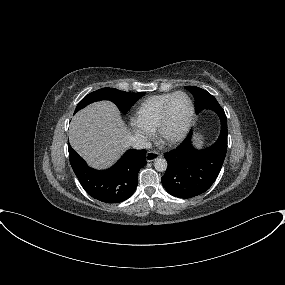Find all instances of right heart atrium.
<instances>
[{"mask_svg":"<svg viewBox=\"0 0 285 285\" xmlns=\"http://www.w3.org/2000/svg\"><path fill=\"white\" fill-rule=\"evenodd\" d=\"M132 126H133V129L141 134V135H144V136H148L150 134V130L139 125L138 123H136L135 121L132 123Z\"/></svg>","mask_w":285,"mask_h":285,"instance_id":"right-heart-atrium-1","label":"right heart atrium"}]
</instances>
